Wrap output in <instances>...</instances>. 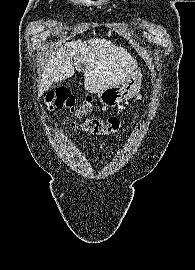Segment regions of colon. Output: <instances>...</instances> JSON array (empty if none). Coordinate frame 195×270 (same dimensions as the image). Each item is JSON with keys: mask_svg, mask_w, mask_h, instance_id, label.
<instances>
[{"mask_svg": "<svg viewBox=\"0 0 195 270\" xmlns=\"http://www.w3.org/2000/svg\"><path fill=\"white\" fill-rule=\"evenodd\" d=\"M45 103L49 111L68 109L79 119L87 117L93 109L91 98H86L77 104L75 98L67 89H58L50 92ZM75 127L95 135H109L120 129L121 119L118 116H109L107 118L92 117L86 119L80 125H75Z\"/></svg>", "mask_w": 195, "mask_h": 270, "instance_id": "5ec220e1", "label": "colon"}]
</instances>
